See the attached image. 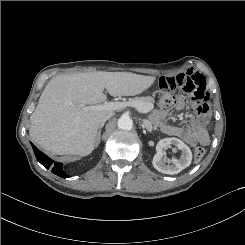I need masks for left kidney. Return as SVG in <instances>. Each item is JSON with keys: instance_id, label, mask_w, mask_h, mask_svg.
<instances>
[{"instance_id": "obj_1", "label": "left kidney", "mask_w": 245, "mask_h": 245, "mask_svg": "<svg viewBox=\"0 0 245 245\" xmlns=\"http://www.w3.org/2000/svg\"><path fill=\"white\" fill-rule=\"evenodd\" d=\"M176 146L181 151L179 159L172 158V165L165 164L162 159V150L169 146ZM157 153L154 155L152 164L154 168L164 174L174 175L190 166L192 162V152L190 148L178 138L170 137L160 140L156 146Z\"/></svg>"}]
</instances>
